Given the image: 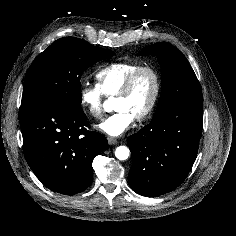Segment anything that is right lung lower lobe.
<instances>
[{
	"instance_id": "1",
	"label": "right lung lower lobe",
	"mask_w": 236,
	"mask_h": 236,
	"mask_svg": "<svg viewBox=\"0 0 236 236\" xmlns=\"http://www.w3.org/2000/svg\"><path fill=\"white\" fill-rule=\"evenodd\" d=\"M26 161L43 185L74 195L93 180V159L107 146L105 136L87 131L82 109L38 102L21 107Z\"/></svg>"
}]
</instances>
